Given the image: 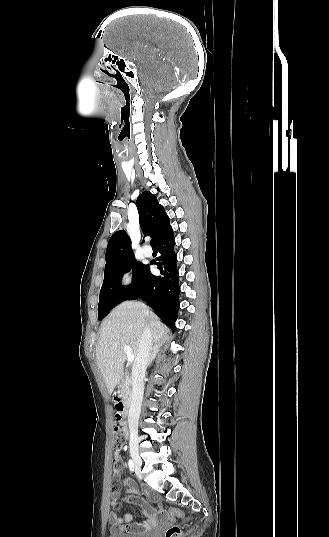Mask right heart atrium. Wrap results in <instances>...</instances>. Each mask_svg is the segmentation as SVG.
I'll return each mask as SVG.
<instances>
[{"instance_id": "obj_1", "label": "right heart atrium", "mask_w": 329, "mask_h": 537, "mask_svg": "<svg viewBox=\"0 0 329 537\" xmlns=\"http://www.w3.org/2000/svg\"><path fill=\"white\" fill-rule=\"evenodd\" d=\"M119 285L123 290H129L134 283V276L131 268L123 269L118 276Z\"/></svg>"}]
</instances>
